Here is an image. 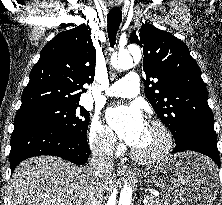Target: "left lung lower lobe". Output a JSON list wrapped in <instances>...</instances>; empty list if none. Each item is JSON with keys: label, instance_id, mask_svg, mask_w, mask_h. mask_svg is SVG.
<instances>
[{"label": "left lung lower lobe", "instance_id": "1", "mask_svg": "<svg viewBox=\"0 0 222 205\" xmlns=\"http://www.w3.org/2000/svg\"><path fill=\"white\" fill-rule=\"evenodd\" d=\"M174 153L195 151L210 157L220 167L216 134L205 130H191L175 140Z\"/></svg>", "mask_w": 222, "mask_h": 205}]
</instances>
